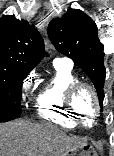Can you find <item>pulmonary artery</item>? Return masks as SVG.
I'll return each mask as SVG.
<instances>
[{
  "label": "pulmonary artery",
  "mask_w": 114,
  "mask_h": 156,
  "mask_svg": "<svg viewBox=\"0 0 114 156\" xmlns=\"http://www.w3.org/2000/svg\"><path fill=\"white\" fill-rule=\"evenodd\" d=\"M54 64H63V65L72 67L73 62L71 59H69L67 57H57L54 59Z\"/></svg>",
  "instance_id": "obj_1"
}]
</instances>
